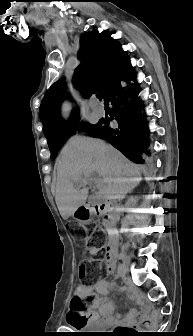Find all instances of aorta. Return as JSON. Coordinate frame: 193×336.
Wrapping results in <instances>:
<instances>
[{
  "instance_id": "1",
  "label": "aorta",
  "mask_w": 193,
  "mask_h": 336,
  "mask_svg": "<svg viewBox=\"0 0 193 336\" xmlns=\"http://www.w3.org/2000/svg\"><path fill=\"white\" fill-rule=\"evenodd\" d=\"M69 110H70V108H69L68 103H64V104H63V115H64V116H67L68 113H69Z\"/></svg>"
}]
</instances>
